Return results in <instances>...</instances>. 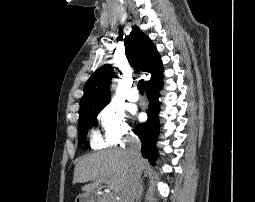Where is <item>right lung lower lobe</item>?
<instances>
[{
    "mask_svg": "<svg viewBox=\"0 0 255 202\" xmlns=\"http://www.w3.org/2000/svg\"><path fill=\"white\" fill-rule=\"evenodd\" d=\"M162 88V81L145 87L146 95L149 100L148 120L145 123H139L133 129L134 133L139 136L142 147L141 152L144 158L149 162L154 163L157 156L156 141L159 134V91Z\"/></svg>",
    "mask_w": 255,
    "mask_h": 202,
    "instance_id": "1",
    "label": "right lung lower lobe"
}]
</instances>
